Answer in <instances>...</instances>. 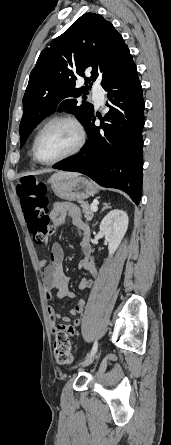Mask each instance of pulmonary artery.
<instances>
[{
	"mask_svg": "<svg viewBox=\"0 0 171 445\" xmlns=\"http://www.w3.org/2000/svg\"><path fill=\"white\" fill-rule=\"evenodd\" d=\"M103 90L98 87L97 85L94 86L93 89V95L95 97V101L97 105H103L104 99H103Z\"/></svg>",
	"mask_w": 171,
	"mask_h": 445,
	"instance_id": "e3ab8cb5",
	"label": "pulmonary artery"
}]
</instances>
